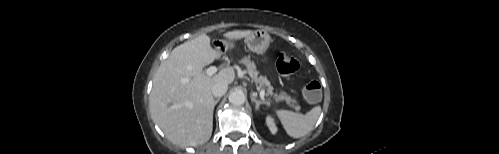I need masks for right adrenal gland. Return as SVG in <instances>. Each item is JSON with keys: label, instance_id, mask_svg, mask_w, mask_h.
<instances>
[{"label": "right adrenal gland", "instance_id": "2a0ac1e0", "mask_svg": "<svg viewBox=\"0 0 499 154\" xmlns=\"http://www.w3.org/2000/svg\"><path fill=\"white\" fill-rule=\"evenodd\" d=\"M219 100H220V98H217V99L215 100V105L219 102Z\"/></svg>", "mask_w": 499, "mask_h": 154}]
</instances>
